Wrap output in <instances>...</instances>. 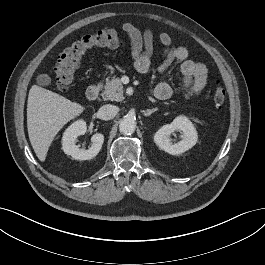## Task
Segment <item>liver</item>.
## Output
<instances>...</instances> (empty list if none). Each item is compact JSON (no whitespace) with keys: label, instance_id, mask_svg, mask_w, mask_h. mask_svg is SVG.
I'll return each instance as SVG.
<instances>
[{"label":"liver","instance_id":"1","mask_svg":"<svg viewBox=\"0 0 265 265\" xmlns=\"http://www.w3.org/2000/svg\"><path fill=\"white\" fill-rule=\"evenodd\" d=\"M84 107L65 97L33 85L27 101V128L38 159L45 161L49 147L61 128L80 115Z\"/></svg>","mask_w":265,"mask_h":265}]
</instances>
